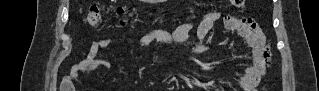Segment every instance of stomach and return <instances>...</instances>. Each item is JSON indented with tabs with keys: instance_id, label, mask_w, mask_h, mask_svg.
Returning <instances> with one entry per match:
<instances>
[{
	"instance_id": "0dacf381",
	"label": "stomach",
	"mask_w": 319,
	"mask_h": 91,
	"mask_svg": "<svg viewBox=\"0 0 319 91\" xmlns=\"http://www.w3.org/2000/svg\"><path fill=\"white\" fill-rule=\"evenodd\" d=\"M146 2H152V3H155V2H160V0H147Z\"/></svg>"
}]
</instances>
